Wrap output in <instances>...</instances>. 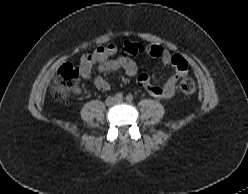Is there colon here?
<instances>
[{
    "label": "colon",
    "instance_id": "1",
    "mask_svg": "<svg viewBox=\"0 0 248 194\" xmlns=\"http://www.w3.org/2000/svg\"><path fill=\"white\" fill-rule=\"evenodd\" d=\"M143 46L140 45V49ZM80 71L73 65L66 63L63 64L57 71L53 83H52V93L54 97L58 100H65L68 95L75 89ZM196 89L195 82L190 77H185L180 81L179 90L181 94L185 97L191 96Z\"/></svg>",
    "mask_w": 248,
    "mask_h": 194
}]
</instances>
